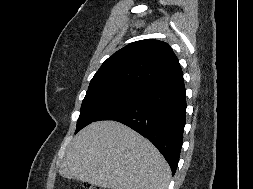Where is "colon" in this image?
<instances>
[{"label": "colon", "mask_w": 253, "mask_h": 189, "mask_svg": "<svg viewBox=\"0 0 253 189\" xmlns=\"http://www.w3.org/2000/svg\"><path fill=\"white\" fill-rule=\"evenodd\" d=\"M77 189H102V188H99V187H95V186H92L90 184H86V183H82L78 186Z\"/></svg>", "instance_id": "5ec220e1"}]
</instances>
